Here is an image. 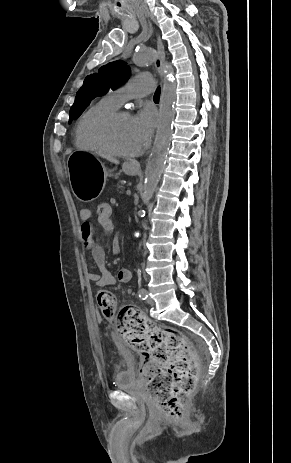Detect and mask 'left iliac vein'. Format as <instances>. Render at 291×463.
Segmentation results:
<instances>
[{
	"mask_svg": "<svg viewBox=\"0 0 291 463\" xmlns=\"http://www.w3.org/2000/svg\"><path fill=\"white\" fill-rule=\"evenodd\" d=\"M146 302H147L148 304H150V305H153V304H154V300H153L150 296L147 297Z\"/></svg>",
	"mask_w": 291,
	"mask_h": 463,
	"instance_id": "1",
	"label": "left iliac vein"
}]
</instances>
